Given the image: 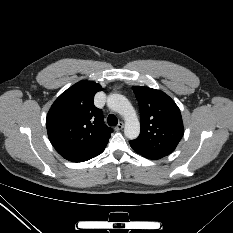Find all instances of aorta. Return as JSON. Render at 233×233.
<instances>
[{
  "mask_svg": "<svg viewBox=\"0 0 233 233\" xmlns=\"http://www.w3.org/2000/svg\"><path fill=\"white\" fill-rule=\"evenodd\" d=\"M107 106L124 117V134L130 139H136L140 134V122L135 109L129 100L120 94H111L107 98Z\"/></svg>",
  "mask_w": 233,
  "mask_h": 233,
  "instance_id": "762f6f07",
  "label": "aorta"
}]
</instances>
